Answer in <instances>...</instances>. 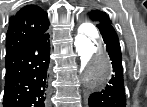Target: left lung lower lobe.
I'll list each match as a JSON object with an SVG mask.
<instances>
[{
    "label": "left lung lower lobe",
    "instance_id": "left-lung-lower-lobe-1",
    "mask_svg": "<svg viewBox=\"0 0 147 107\" xmlns=\"http://www.w3.org/2000/svg\"><path fill=\"white\" fill-rule=\"evenodd\" d=\"M97 27L112 61L113 74L106 85L93 89L94 91L88 96V107H126L122 54L118 36L112 25Z\"/></svg>",
    "mask_w": 147,
    "mask_h": 107
}]
</instances>
